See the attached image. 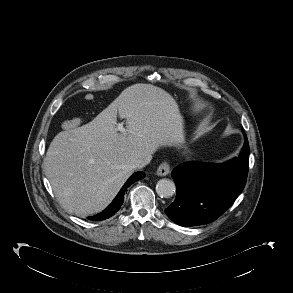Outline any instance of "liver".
Masks as SVG:
<instances>
[{
	"label": "liver",
	"instance_id": "obj_1",
	"mask_svg": "<svg viewBox=\"0 0 293 293\" xmlns=\"http://www.w3.org/2000/svg\"><path fill=\"white\" fill-rule=\"evenodd\" d=\"M117 116L126 121L119 133ZM183 141L178 105L163 89L134 84L91 122L52 140L44 171L61 206L78 216L104 210L133 174L135 160Z\"/></svg>",
	"mask_w": 293,
	"mask_h": 293
}]
</instances>
